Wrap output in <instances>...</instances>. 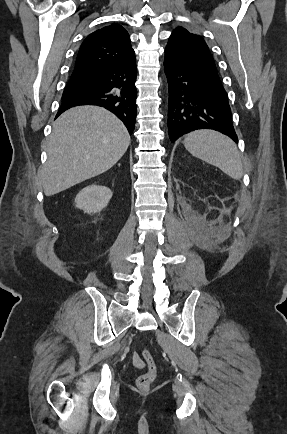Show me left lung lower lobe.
Wrapping results in <instances>:
<instances>
[{"label":"left lung lower lobe","mask_w":287,"mask_h":434,"mask_svg":"<svg viewBox=\"0 0 287 434\" xmlns=\"http://www.w3.org/2000/svg\"><path fill=\"white\" fill-rule=\"evenodd\" d=\"M164 70L169 86L171 142L197 129H213L238 142L228 97L217 71L168 56Z\"/></svg>","instance_id":"0a47b994"}]
</instances>
